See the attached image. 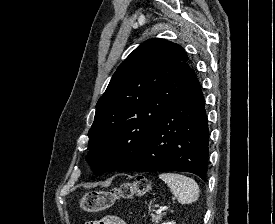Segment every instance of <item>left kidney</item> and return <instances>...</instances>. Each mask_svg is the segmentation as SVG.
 Instances as JSON below:
<instances>
[{"mask_svg": "<svg viewBox=\"0 0 275 224\" xmlns=\"http://www.w3.org/2000/svg\"><path fill=\"white\" fill-rule=\"evenodd\" d=\"M162 224H176L174 222H166V223H162Z\"/></svg>", "mask_w": 275, "mask_h": 224, "instance_id": "5707ae66", "label": "left kidney"}]
</instances>
